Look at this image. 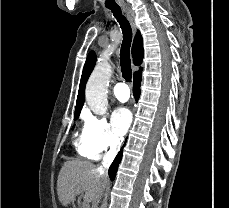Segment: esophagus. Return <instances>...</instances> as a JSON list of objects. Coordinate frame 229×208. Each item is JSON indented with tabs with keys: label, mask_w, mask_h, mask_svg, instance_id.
<instances>
[{
	"label": "esophagus",
	"mask_w": 229,
	"mask_h": 208,
	"mask_svg": "<svg viewBox=\"0 0 229 208\" xmlns=\"http://www.w3.org/2000/svg\"><path fill=\"white\" fill-rule=\"evenodd\" d=\"M124 11L126 12L127 18L129 20V23L131 25V28L133 30V33H136L137 30V26L135 23V15L134 12L132 10H130L129 8H124Z\"/></svg>",
	"instance_id": "1"
}]
</instances>
